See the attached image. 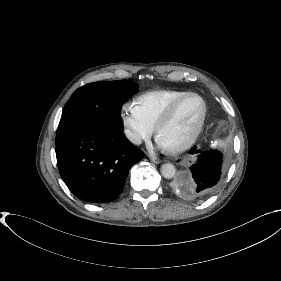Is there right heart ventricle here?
Instances as JSON below:
<instances>
[{
  "instance_id": "right-heart-ventricle-1",
  "label": "right heart ventricle",
  "mask_w": 281,
  "mask_h": 281,
  "mask_svg": "<svg viewBox=\"0 0 281 281\" xmlns=\"http://www.w3.org/2000/svg\"><path fill=\"white\" fill-rule=\"evenodd\" d=\"M188 92L182 90H152L139 95L135 103L151 126H155L167 107L177 98Z\"/></svg>"
}]
</instances>
